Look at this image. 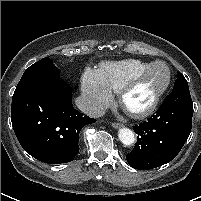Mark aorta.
I'll return each mask as SVG.
<instances>
[{"mask_svg":"<svg viewBox=\"0 0 201 201\" xmlns=\"http://www.w3.org/2000/svg\"><path fill=\"white\" fill-rule=\"evenodd\" d=\"M118 136L120 141L126 146H130L135 142V135L129 128H121Z\"/></svg>","mask_w":201,"mask_h":201,"instance_id":"762f6f07","label":"aorta"}]
</instances>
